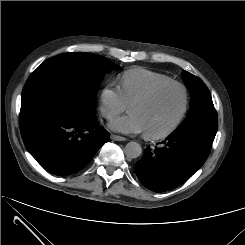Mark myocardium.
<instances>
[{"label": "myocardium", "mask_w": 245, "mask_h": 245, "mask_svg": "<svg viewBox=\"0 0 245 245\" xmlns=\"http://www.w3.org/2000/svg\"><path fill=\"white\" fill-rule=\"evenodd\" d=\"M178 87L183 94V105L182 108L180 110V113L178 115V117L176 118V120L165 130L158 132V133H149V132H145V137L147 139L150 140H159V139H164L168 136H170L171 134H173L178 127L181 125V123L183 122L187 111H188V107H189V92L186 88L185 85H183L182 83L178 82V81H166V82H161L158 83L154 86H152L149 90H147L145 93L137 96L136 98H134L133 100H131L128 104V109L130 108V106H132L135 103H144L147 102L149 100H151L159 91L167 88V87Z\"/></svg>", "instance_id": "obj_1"}]
</instances>
